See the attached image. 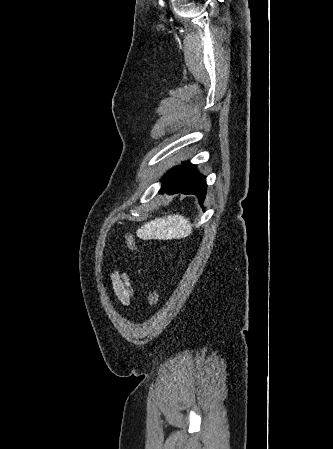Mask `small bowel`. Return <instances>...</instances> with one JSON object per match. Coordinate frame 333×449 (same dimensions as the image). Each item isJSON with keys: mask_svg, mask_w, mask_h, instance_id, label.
<instances>
[{"mask_svg": "<svg viewBox=\"0 0 333 449\" xmlns=\"http://www.w3.org/2000/svg\"><path fill=\"white\" fill-rule=\"evenodd\" d=\"M112 284L115 295L123 305H129L133 298L130 281L125 274L113 273Z\"/></svg>", "mask_w": 333, "mask_h": 449, "instance_id": "small-bowel-1", "label": "small bowel"}]
</instances>
